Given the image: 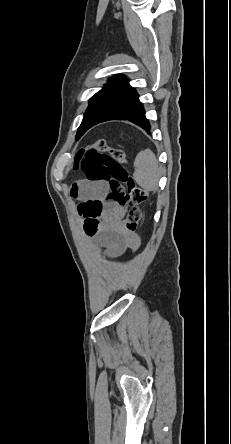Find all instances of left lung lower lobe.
<instances>
[{"label": "left lung lower lobe", "instance_id": "0a47b994", "mask_svg": "<svg viewBox=\"0 0 231 444\" xmlns=\"http://www.w3.org/2000/svg\"><path fill=\"white\" fill-rule=\"evenodd\" d=\"M108 120H128L132 123H135L136 125L142 127L146 130V132H149L150 130V124L148 120L145 117V111L143 108L142 103L139 101V96L136 93L132 98H130L121 108V110L115 114L114 116L107 117L105 119H102L100 122L108 121ZM98 122V123H100ZM95 123L91 125L90 127L98 124Z\"/></svg>", "mask_w": 231, "mask_h": 444}]
</instances>
